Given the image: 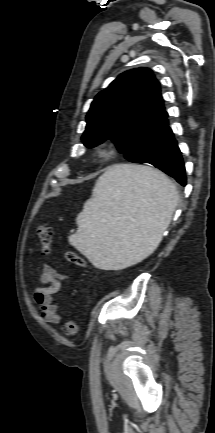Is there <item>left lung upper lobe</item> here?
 Wrapping results in <instances>:
<instances>
[{"label": "left lung upper lobe", "mask_w": 215, "mask_h": 433, "mask_svg": "<svg viewBox=\"0 0 215 433\" xmlns=\"http://www.w3.org/2000/svg\"><path fill=\"white\" fill-rule=\"evenodd\" d=\"M163 102L151 70L137 68L120 74L92 102L84 145L92 148L111 138L130 162L155 166L169 130Z\"/></svg>", "instance_id": "1"}]
</instances>
